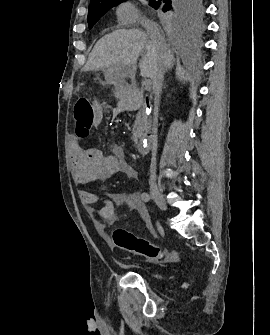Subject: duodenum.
Wrapping results in <instances>:
<instances>
[{"instance_id":"410a0bca","label":"duodenum","mask_w":270,"mask_h":335,"mask_svg":"<svg viewBox=\"0 0 270 335\" xmlns=\"http://www.w3.org/2000/svg\"><path fill=\"white\" fill-rule=\"evenodd\" d=\"M143 103L144 98L138 88L125 83L120 85V104L123 110H136L140 108ZM149 147L150 140L148 137L143 136L137 139L136 148L139 153H148Z\"/></svg>"}]
</instances>
